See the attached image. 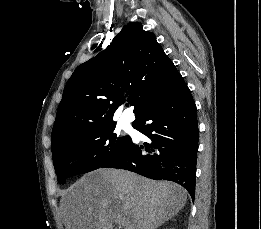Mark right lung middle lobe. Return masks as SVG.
<instances>
[{"label": "right lung middle lobe", "mask_w": 261, "mask_h": 229, "mask_svg": "<svg viewBox=\"0 0 261 229\" xmlns=\"http://www.w3.org/2000/svg\"><path fill=\"white\" fill-rule=\"evenodd\" d=\"M115 126L94 125L80 127L52 150L58 182L101 168L124 151L132 142L129 136L114 133Z\"/></svg>", "instance_id": "obj_1"}]
</instances>
